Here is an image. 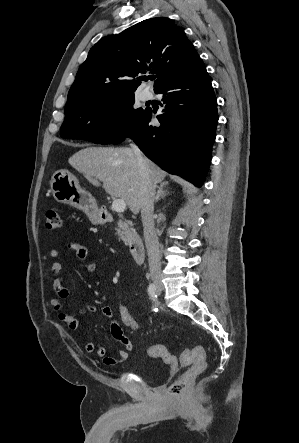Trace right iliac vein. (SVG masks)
<instances>
[{"mask_svg": "<svg viewBox=\"0 0 299 443\" xmlns=\"http://www.w3.org/2000/svg\"><path fill=\"white\" fill-rule=\"evenodd\" d=\"M152 280H153L154 284L158 287L159 290L163 289V286L161 283V278L159 276H153Z\"/></svg>", "mask_w": 299, "mask_h": 443, "instance_id": "obj_1", "label": "right iliac vein"}]
</instances>
